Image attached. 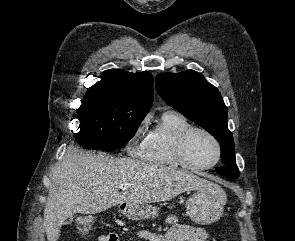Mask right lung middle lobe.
I'll list each match as a JSON object with an SVG mask.
<instances>
[{"mask_svg":"<svg viewBox=\"0 0 295 241\" xmlns=\"http://www.w3.org/2000/svg\"><path fill=\"white\" fill-rule=\"evenodd\" d=\"M148 111L103 93L85 95L77 110L76 141L86 149L113 151L135 135Z\"/></svg>","mask_w":295,"mask_h":241,"instance_id":"1","label":"right lung middle lobe"}]
</instances>
